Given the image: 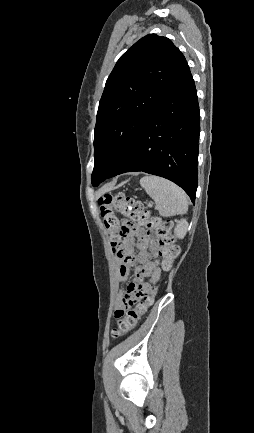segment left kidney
<instances>
[{
    "label": "left kidney",
    "mask_w": 254,
    "mask_h": 433,
    "mask_svg": "<svg viewBox=\"0 0 254 433\" xmlns=\"http://www.w3.org/2000/svg\"><path fill=\"white\" fill-rule=\"evenodd\" d=\"M187 229H188L187 221L185 219H181L180 221H178L174 233L178 238L182 239L185 237L187 233Z\"/></svg>",
    "instance_id": "1"
}]
</instances>
